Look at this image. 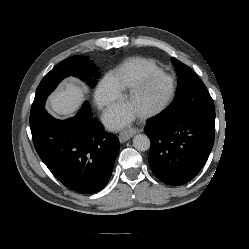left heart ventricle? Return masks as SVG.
I'll use <instances>...</instances> for the list:
<instances>
[{"label": "left heart ventricle", "instance_id": "obj_1", "mask_svg": "<svg viewBox=\"0 0 249 249\" xmlns=\"http://www.w3.org/2000/svg\"><path fill=\"white\" fill-rule=\"evenodd\" d=\"M171 84L169 80L160 79L152 82L133 99L126 103V106L138 115L160 105L169 94Z\"/></svg>", "mask_w": 249, "mask_h": 249}]
</instances>
